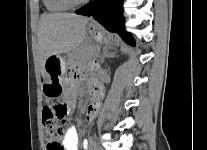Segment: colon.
Returning <instances> with one entry per match:
<instances>
[{
  "label": "colon",
  "instance_id": "obj_1",
  "mask_svg": "<svg viewBox=\"0 0 207 150\" xmlns=\"http://www.w3.org/2000/svg\"><path fill=\"white\" fill-rule=\"evenodd\" d=\"M68 111L67 104L63 103H51L44 107L42 117L46 150H64L61 136Z\"/></svg>",
  "mask_w": 207,
  "mask_h": 150
}]
</instances>
